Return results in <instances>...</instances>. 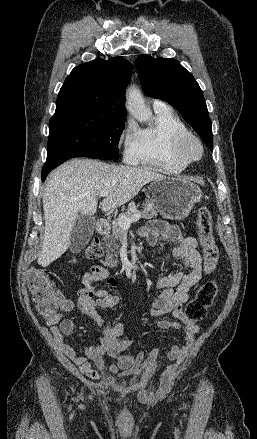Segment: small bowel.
Segmentation results:
<instances>
[{"label": "small bowel", "mask_w": 257, "mask_h": 439, "mask_svg": "<svg viewBox=\"0 0 257 439\" xmlns=\"http://www.w3.org/2000/svg\"><path fill=\"white\" fill-rule=\"evenodd\" d=\"M140 235L149 245L156 247L159 241L169 245L166 259L177 258L183 265L180 272L170 273L160 277L156 287L161 290L158 298L153 301L150 315L163 316L171 314L183 322L161 319L158 325L162 329H182L183 342L172 346L167 353V358L172 362L163 373L165 380L172 378L178 365L182 362L194 343V336L198 330L195 323L186 322L184 319L183 304L189 298L190 289L203 277L202 257L197 250L198 241L194 236L184 235L176 225L165 221L155 220L141 228ZM105 282L114 287L115 281L108 270L102 266H93L82 278L83 288L80 290V299L77 303L66 299L59 291L55 293V302L58 313L48 317L47 324L52 327V332L61 346L62 351L68 356L88 378L98 380L102 373H110L119 377H130L144 372L152 374L159 363L160 349L156 348L147 358L139 350L129 353L132 341L123 340L120 335L123 326L120 322L104 323L97 313L98 309L106 310L119 304V297L98 289L96 284ZM78 308L82 313L92 318L101 332L98 343L82 346V353H78L74 346L65 338L75 332L76 325L71 319L63 318V314ZM110 356L116 360L112 365L105 362L104 357ZM93 362L94 366L90 363Z\"/></svg>", "instance_id": "1"}]
</instances>
